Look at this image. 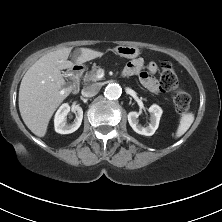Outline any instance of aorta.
<instances>
[{
  "label": "aorta",
  "mask_w": 222,
  "mask_h": 222,
  "mask_svg": "<svg viewBox=\"0 0 222 222\" xmlns=\"http://www.w3.org/2000/svg\"><path fill=\"white\" fill-rule=\"evenodd\" d=\"M122 93V89L118 84H109L107 85L106 89H105V96L108 99H118L121 96Z\"/></svg>",
  "instance_id": "1"
}]
</instances>
